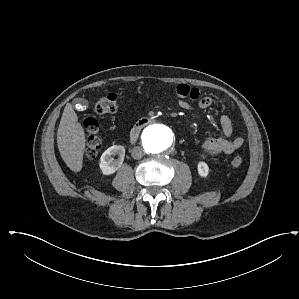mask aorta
Returning <instances> with one entry per match:
<instances>
[{
    "mask_svg": "<svg viewBox=\"0 0 299 299\" xmlns=\"http://www.w3.org/2000/svg\"><path fill=\"white\" fill-rule=\"evenodd\" d=\"M172 130L163 124H152L146 127L142 133V146L149 156H158L173 144Z\"/></svg>",
    "mask_w": 299,
    "mask_h": 299,
    "instance_id": "1",
    "label": "aorta"
}]
</instances>
